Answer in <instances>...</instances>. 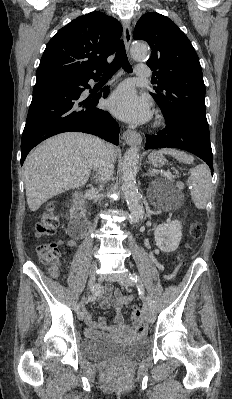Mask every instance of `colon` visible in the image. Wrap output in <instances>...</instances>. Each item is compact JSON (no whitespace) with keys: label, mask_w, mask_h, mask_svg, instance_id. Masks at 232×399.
I'll return each mask as SVG.
<instances>
[{"label":"colon","mask_w":232,"mask_h":399,"mask_svg":"<svg viewBox=\"0 0 232 399\" xmlns=\"http://www.w3.org/2000/svg\"><path fill=\"white\" fill-rule=\"evenodd\" d=\"M43 209L47 212L45 218H41V222L37 228V247L38 253L42 257H47L51 263H56L61 258L59 244H50V235L58 227L62 220V214L57 210V204L53 200H47L43 204ZM203 230V225L193 223L188 226L187 234L191 238H196ZM182 249L186 253H191L195 249V244L191 240H186L182 244ZM174 262L178 266H184L188 262V257L184 253H178L174 257ZM133 324H148L147 313H132ZM136 335H145V328H136Z\"/></svg>","instance_id":"5ec220e1"}]
</instances>
